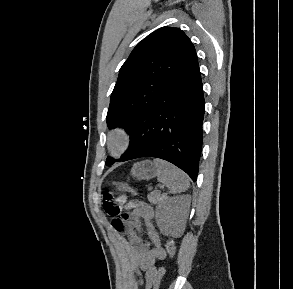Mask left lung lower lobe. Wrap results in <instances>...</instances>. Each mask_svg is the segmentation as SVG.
<instances>
[{
  "label": "left lung lower lobe",
  "mask_w": 293,
  "mask_h": 289,
  "mask_svg": "<svg viewBox=\"0 0 293 289\" xmlns=\"http://www.w3.org/2000/svg\"><path fill=\"white\" fill-rule=\"evenodd\" d=\"M204 105L197 61L133 124L130 145L122 161L161 158L185 171L195 182L202 148Z\"/></svg>",
  "instance_id": "0a47b994"
}]
</instances>
